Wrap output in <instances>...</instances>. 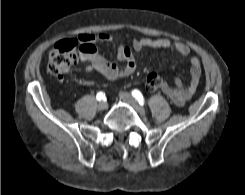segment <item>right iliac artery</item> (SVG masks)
Segmentation results:
<instances>
[{
    "label": "right iliac artery",
    "mask_w": 245,
    "mask_h": 195,
    "mask_svg": "<svg viewBox=\"0 0 245 195\" xmlns=\"http://www.w3.org/2000/svg\"><path fill=\"white\" fill-rule=\"evenodd\" d=\"M105 97V94L103 92H98L97 95H96V98L98 101H101L103 100Z\"/></svg>",
    "instance_id": "82829eb1"
}]
</instances>
